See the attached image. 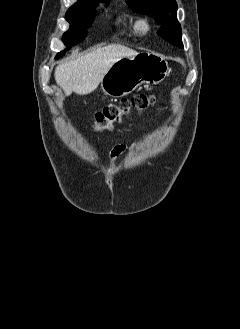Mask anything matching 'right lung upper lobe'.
<instances>
[{
	"instance_id": "right-lung-upper-lobe-1",
	"label": "right lung upper lobe",
	"mask_w": 240,
	"mask_h": 329,
	"mask_svg": "<svg viewBox=\"0 0 240 329\" xmlns=\"http://www.w3.org/2000/svg\"><path fill=\"white\" fill-rule=\"evenodd\" d=\"M109 1V0H105ZM98 3V0H78L77 3H75L73 6L70 7V9H76V8H88L96 5Z\"/></svg>"
}]
</instances>
